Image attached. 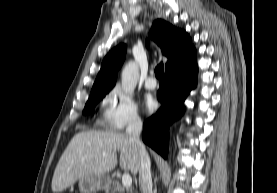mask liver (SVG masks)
<instances>
[{"instance_id": "obj_1", "label": "liver", "mask_w": 277, "mask_h": 193, "mask_svg": "<svg viewBox=\"0 0 277 193\" xmlns=\"http://www.w3.org/2000/svg\"><path fill=\"white\" fill-rule=\"evenodd\" d=\"M117 152H120V167L136 175L140 169L139 153L127 134L109 131L76 134L55 168L52 191L62 192L83 177L105 175L115 168Z\"/></svg>"}]
</instances>
